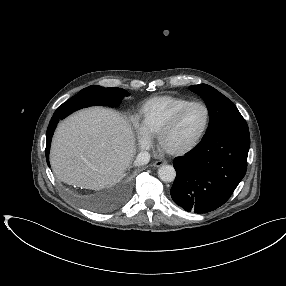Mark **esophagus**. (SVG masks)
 Instances as JSON below:
<instances>
[{"label": "esophagus", "instance_id": "34e87169", "mask_svg": "<svg viewBox=\"0 0 286 286\" xmlns=\"http://www.w3.org/2000/svg\"><path fill=\"white\" fill-rule=\"evenodd\" d=\"M165 164H167L166 161L157 160V161H155V162L153 163V166L156 167V168H158V167H161V166H163V165H165Z\"/></svg>", "mask_w": 286, "mask_h": 286}]
</instances>
